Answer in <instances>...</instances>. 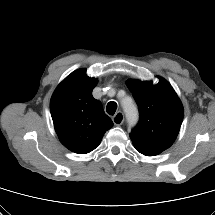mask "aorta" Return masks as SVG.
<instances>
[{
    "label": "aorta",
    "mask_w": 215,
    "mask_h": 215,
    "mask_svg": "<svg viewBox=\"0 0 215 215\" xmlns=\"http://www.w3.org/2000/svg\"><path fill=\"white\" fill-rule=\"evenodd\" d=\"M123 111L129 124L133 125L138 121V110L131 99L122 102Z\"/></svg>",
    "instance_id": "obj_1"
}]
</instances>
